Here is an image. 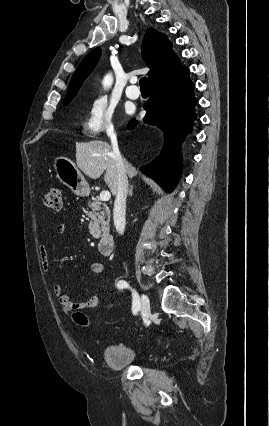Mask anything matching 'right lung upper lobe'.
<instances>
[{
	"mask_svg": "<svg viewBox=\"0 0 269 426\" xmlns=\"http://www.w3.org/2000/svg\"><path fill=\"white\" fill-rule=\"evenodd\" d=\"M100 56L101 49L95 48L82 60L72 76L65 99L74 98L83 81L96 66ZM142 56L150 68L147 73L149 85L170 75L182 66L166 35L153 28L146 30L142 45Z\"/></svg>",
	"mask_w": 269,
	"mask_h": 426,
	"instance_id": "obj_1",
	"label": "right lung upper lobe"
}]
</instances>
